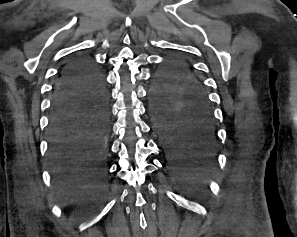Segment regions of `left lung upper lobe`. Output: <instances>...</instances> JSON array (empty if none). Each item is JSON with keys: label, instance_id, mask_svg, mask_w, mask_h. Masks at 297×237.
<instances>
[{"label": "left lung upper lobe", "instance_id": "1", "mask_svg": "<svg viewBox=\"0 0 297 237\" xmlns=\"http://www.w3.org/2000/svg\"><path fill=\"white\" fill-rule=\"evenodd\" d=\"M189 101L210 106L203 84L184 61L173 59L156 75L151 87L153 106H181Z\"/></svg>", "mask_w": 297, "mask_h": 237}]
</instances>
